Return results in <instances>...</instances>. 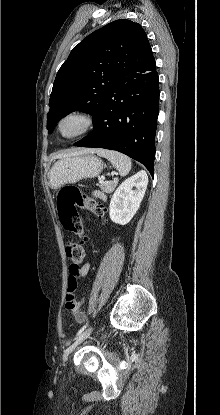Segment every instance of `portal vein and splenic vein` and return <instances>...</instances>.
<instances>
[{"instance_id":"1","label":"portal vein and splenic vein","mask_w":220,"mask_h":415,"mask_svg":"<svg viewBox=\"0 0 220 415\" xmlns=\"http://www.w3.org/2000/svg\"><path fill=\"white\" fill-rule=\"evenodd\" d=\"M104 180H105V177L102 176L100 182H103Z\"/></svg>"}]
</instances>
